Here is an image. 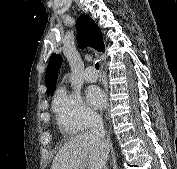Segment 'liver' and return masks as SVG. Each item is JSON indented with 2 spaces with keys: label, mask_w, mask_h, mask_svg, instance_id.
<instances>
[{
  "label": "liver",
  "mask_w": 177,
  "mask_h": 169,
  "mask_svg": "<svg viewBox=\"0 0 177 169\" xmlns=\"http://www.w3.org/2000/svg\"><path fill=\"white\" fill-rule=\"evenodd\" d=\"M110 143L102 142L91 132L70 139L56 154L51 169H104Z\"/></svg>",
  "instance_id": "1"
}]
</instances>
